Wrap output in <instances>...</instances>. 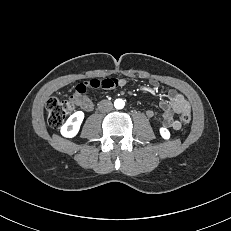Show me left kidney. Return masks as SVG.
Wrapping results in <instances>:
<instances>
[{
	"mask_svg": "<svg viewBox=\"0 0 231 231\" xmlns=\"http://www.w3.org/2000/svg\"><path fill=\"white\" fill-rule=\"evenodd\" d=\"M160 134L164 139H168L170 136L169 131L166 128H160Z\"/></svg>",
	"mask_w": 231,
	"mask_h": 231,
	"instance_id": "1",
	"label": "left kidney"
}]
</instances>
